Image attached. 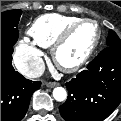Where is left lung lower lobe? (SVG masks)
<instances>
[{"instance_id": "0a47b994", "label": "left lung lower lobe", "mask_w": 121, "mask_h": 121, "mask_svg": "<svg viewBox=\"0 0 121 121\" xmlns=\"http://www.w3.org/2000/svg\"><path fill=\"white\" fill-rule=\"evenodd\" d=\"M66 87L59 107L66 121L104 120L121 102V46L102 50Z\"/></svg>"}]
</instances>
